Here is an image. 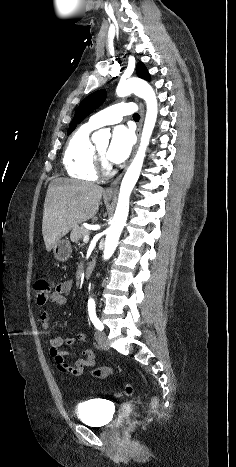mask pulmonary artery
Returning a JSON list of instances; mask_svg holds the SVG:
<instances>
[{"instance_id": "e3ab8cb5", "label": "pulmonary artery", "mask_w": 236, "mask_h": 467, "mask_svg": "<svg viewBox=\"0 0 236 467\" xmlns=\"http://www.w3.org/2000/svg\"><path fill=\"white\" fill-rule=\"evenodd\" d=\"M135 112V107L130 103H118L112 105L90 117L87 125L93 129L104 125L120 122L124 116Z\"/></svg>"}]
</instances>
